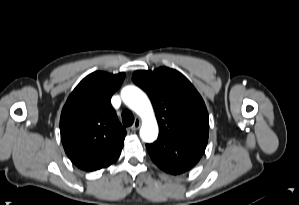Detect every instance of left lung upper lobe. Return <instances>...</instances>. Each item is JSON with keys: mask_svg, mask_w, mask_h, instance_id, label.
Wrapping results in <instances>:
<instances>
[{"mask_svg": "<svg viewBox=\"0 0 299 205\" xmlns=\"http://www.w3.org/2000/svg\"><path fill=\"white\" fill-rule=\"evenodd\" d=\"M136 85L148 94L159 123V137L208 141L209 118L200 94L180 72L160 67L133 73Z\"/></svg>", "mask_w": 299, "mask_h": 205, "instance_id": "obj_1", "label": "left lung upper lobe"}]
</instances>
